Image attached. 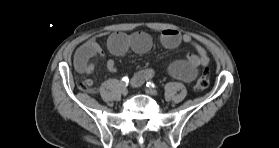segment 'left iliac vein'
Instances as JSON below:
<instances>
[{"label":"left iliac vein","instance_id":"obj_1","mask_svg":"<svg viewBox=\"0 0 279 148\" xmlns=\"http://www.w3.org/2000/svg\"><path fill=\"white\" fill-rule=\"evenodd\" d=\"M145 92L149 95H152V96H157V91L152 89V88H146L145 89Z\"/></svg>","mask_w":279,"mask_h":148}]
</instances>
